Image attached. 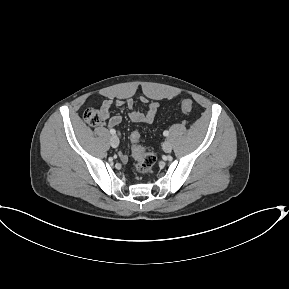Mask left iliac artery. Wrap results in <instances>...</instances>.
Segmentation results:
<instances>
[{"mask_svg": "<svg viewBox=\"0 0 289 289\" xmlns=\"http://www.w3.org/2000/svg\"><path fill=\"white\" fill-rule=\"evenodd\" d=\"M163 135H164V136H168V135H169V132H168L167 130H165V131L163 132Z\"/></svg>", "mask_w": 289, "mask_h": 289, "instance_id": "1", "label": "left iliac artery"}]
</instances>
